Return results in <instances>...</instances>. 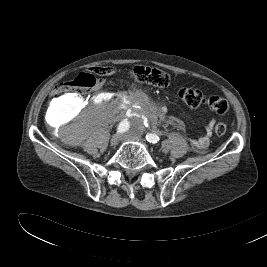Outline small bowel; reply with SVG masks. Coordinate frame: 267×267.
<instances>
[{
  "label": "small bowel",
  "instance_id": "1",
  "mask_svg": "<svg viewBox=\"0 0 267 267\" xmlns=\"http://www.w3.org/2000/svg\"><path fill=\"white\" fill-rule=\"evenodd\" d=\"M212 129H213V121H209L206 125V134L205 136L196 139L193 141V144L195 147L198 149H205L209 145V139L210 136L212 135Z\"/></svg>",
  "mask_w": 267,
  "mask_h": 267
}]
</instances>
